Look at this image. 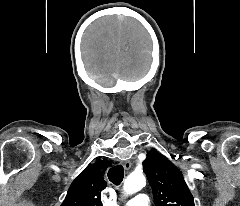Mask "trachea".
Instances as JSON below:
<instances>
[{
	"instance_id": "obj_1",
	"label": "trachea",
	"mask_w": 240,
	"mask_h": 206,
	"mask_svg": "<svg viewBox=\"0 0 240 206\" xmlns=\"http://www.w3.org/2000/svg\"><path fill=\"white\" fill-rule=\"evenodd\" d=\"M109 180L115 185H119L124 178V169L122 165L112 167L108 172Z\"/></svg>"
}]
</instances>
